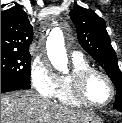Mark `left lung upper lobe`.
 <instances>
[{
  "mask_svg": "<svg viewBox=\"0 0 122 123\" xmlns=\"http://www.w3.org/2000/svg\"><path fill=\"white\" fill-rule=\"evenodd\" d=\"M70 18L76 26L82 48L102 66L116 87L114 108L122 109V73L106 31L105 21L93 10L80 6H75L70 11Z\"/></svg>",
  "mask_w": 122,
  "mask_h": 123,
  "instance_id": "left-lung-upper-lobe-1",
  "label": "left lung upper lobe"
}]
</instances>
